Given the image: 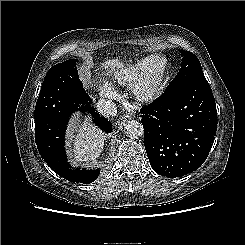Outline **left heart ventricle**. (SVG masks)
Instances as JSON below:
<instances>
[{"label":"left heart ventricle","instance_id":"obj_1","mask_svg":"<svg viewBox=\"0 0 245 245\" xmlns=\"http://www.w3.org/2000/svg\"><path fill=\"white\" fill-rule=\"evenodd\" d=\"M161 63L159 61H155L153 63V67H152V75H156L160 69Z\"/></svg>","mask_w":245,"mask_h":245}]
</instances>
